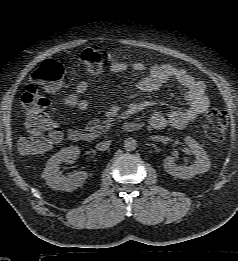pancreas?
Segmentation results:
<instances>
[{"mask_svg": "<svg viewBox=\"0 0 238 261\" xmlns=\"http://www.w3.org/2000/svg\"><path fill=\"white\" fill-rule=\"evenodd\" d=\"M111 122V119H106L101 123V121L97 119L95 121L89 122L86 125L85 130L90 132L91 135L97 137L109 130L110 126H112Z\"/></svg>", "mask_w": 238, "mask_h": 261, "instance_id": "pancreas-1", "label": "pancreas"}]
</instances>
